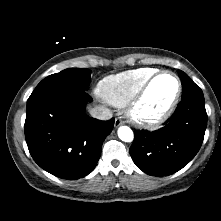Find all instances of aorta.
<instances>
[{
  "instance_id": "aorta-1",
  "label": "aorta",
  "mask_w": 221,
  "mask_h": 221,
  "mask_svg": "<svg viewBox=\"0 0 221 221\" xmlns=\"http://www.w3.org/2000/svg\"><path fill=\"white\" fill-rule=\"evenodd\" d=\"M118 137L124 142H131L134 139L133 131L127 126L118 128Z\"/></svg>"
}]
</instances>
